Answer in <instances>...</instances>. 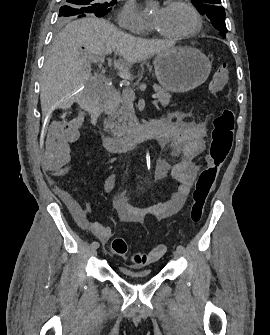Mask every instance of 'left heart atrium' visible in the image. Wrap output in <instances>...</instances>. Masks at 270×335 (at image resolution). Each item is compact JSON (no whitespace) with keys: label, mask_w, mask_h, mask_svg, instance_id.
Masks as SVG:
<instances>
[{"label":"left heart atrium","mask_w":270,"mask_h":335,"mask_svg":"<svg viewBox=\"0 0 270 335\" xmlns=\"http://www.w3.org/2000/svg\"><path fill=\"white\" fill-rule=\"evenodd\" d=\"M161 17L160 18H158V19H156L155 21H154V25L159 29V27H160V24H161Z\"/></svg>","instance_id":"obj_1"}]
</instances>
